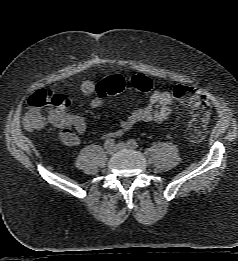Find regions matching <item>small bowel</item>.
I'll list each match as a JSON object with an SVG mask.
<instances>
[{
    "label": "small bowel",
    "mask_w": 238,
    "mask_h": 261,
    "mask_svg": "<svg viewBox=\"0 0 238 261\" xmlns=\"http://www.w3.org/2000/svg\"><path fill=\"white\" fill-rule=\"evenodd\" d=\"M80 90L85 96L95 95L90 102L91 107L101 108L105 105L106 96L97 92V85L86 80L82 82ZM173 97L167 91H161L152 86L148 105L144 108H135L120 121L119 129L111 136L119 137L139 122L165 121L171 114ZM49 123L57 129L61 142L67 146H76L80 142V135L86 131L85 120L78 115L67 114L58 109H52L48 115Z\"/></svg>",
    "instance_id": "small-bowel-1"
}]
</instances>
